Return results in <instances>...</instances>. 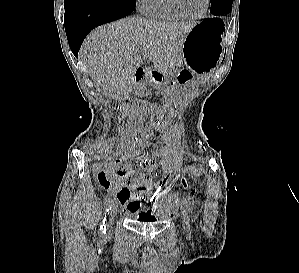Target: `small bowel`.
Returning <instances> with one entry per match:
<instances>
[{
	"label": "small bowel",
	"mask_w": 299,
	"mask_h": 273,
	"mask_svg": "<svg viewBox=\"0 0 299 273\" xmlns=\"http://www.w3.org/2000/svg\"><path fill=\"white\" fill-rule=\"evenodd\" d=\"M134 140L132 134L127 135L125 145L130 146ZM144 164L152 170L160 168L148 155L144 157ZM108 173L106 181L98 179L100 185L116 198L126 214L135 215L141 221L149 222L157 210L172 212L178 205V195L169 193L165 182L138 176L131 166L125 165L117 172Z\"/></svg>",
	"instance_id": "c3829d8e"
}]
</instances>
